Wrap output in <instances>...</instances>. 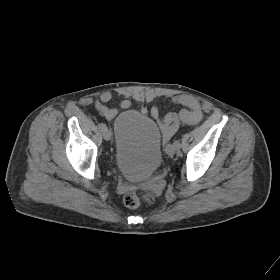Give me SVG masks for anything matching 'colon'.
I'll return each mask as SVG.
<instances>
[{"label":"colon","instance_id":"obj_1","mask_svg":"<svg viewBox=\"0 0 280 280\" xmlns=\"http://www.w3.org/2000/svg\"><path fill=\"white\" fill-rule=\"evenodd\" d=\"M142 200L151 203L153 202L154 198L151 195L141 196L137 192H129L123 198L125 206L129 208L138 207L141 204Z\"/></svg>","mask_w":280,"mask_h":280}]
</instances>
